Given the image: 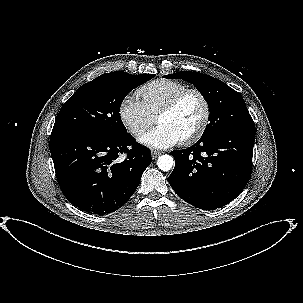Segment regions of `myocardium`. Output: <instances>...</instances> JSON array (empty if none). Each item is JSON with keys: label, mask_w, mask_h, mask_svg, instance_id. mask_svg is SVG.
Wrapping results in <instances>:
<instances>
[{"label": "myocardium", "mask_w": 303, "mask_h": 303, "mask_svg": "<svg viewBox=\"0 0 303 303\" xmlns=\"http://www.w3.org/2000/svg\"><path fill=\"white\" fill-rule=\"evenodd\" d=\"M191 94L198 96V98L200 99L203 106V114L200 124L198 125L196 130L180 140V142L183 144H191L198 141L205 133L208 127L211 111L206 96L198 89L188 88L173 97L156 115V121L158 122L160 117L173 112L180 105V103Z\"/></svg>", "instance_id": "f54148a6"}]
</instances>
